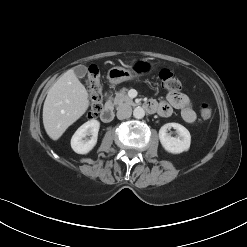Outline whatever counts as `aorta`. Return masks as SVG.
Returning <instances> with one entry per match:
<instances>
[{
	"mask_svg": "<svg viewBox=\"0 0 247 247\" xmlns=\"http://www.w3.org/2000/svg\"><path fill=\"white\" fill-rule=\"evenodd\" d=\"M133 116L137 119H142L145 116V111L142 107H136L133 111Z\"/></svg>",
	"mask_w": 247,
	"mask_h": 247,
	"instance_id": "aorta-1",
	"label": "aorta"
}]
</instances>
